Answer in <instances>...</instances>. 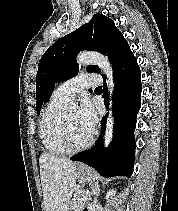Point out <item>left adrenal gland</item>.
<instances>
[{
  "mask_svg": "<svg viewBox=\"0 0 178 211\" xmlns=\"http://www.w3.org/2000/svg\"><path fill=\"white\" fill-rule=\"evenodd\" d=\"M93 194L95 195V200H96L97 197H98L99 194H100V188H99V186H96V187L93 189Z\"/></svg>",
  "mask_w": 178,
  "mask_h": 211,
  "instance_id": "1",
  "label": "left adrenal gland"
}]
</instances>
